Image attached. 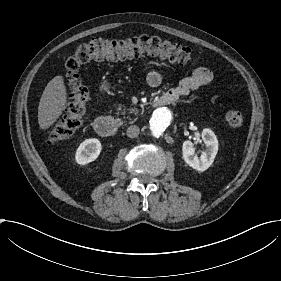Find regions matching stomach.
Wrapping results in <instances>:
<instances>
[{
	"label": "stomach",
	"mask_w": 281,
	"mask_h": 281,
	"mask_svg": "<svg viewBox=\"0 0 281 281\" xmlns=\"http://www.w3.org/2000/svg\"><path fill=\"white\" fill-rule=\"evenodd\" d=\"M104 88H105V89H107V88H108V86H107V85H104Z\"/></svg>",
	"instance_id": "0dacf381"
}]
</instances>
